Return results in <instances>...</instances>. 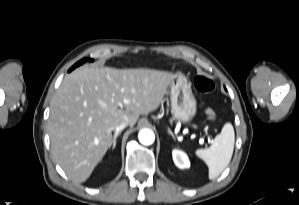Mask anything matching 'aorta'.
I'll list each match as a JSON object with an SVG mask.
<instances>
[{
	"mask_svg": "<svg viewBox=\"0 0 299 205\" xmlns=\"http://www.w3.org/2000/svg\"><path fill=\"white\" fill-rule=\"evenodd\" d=\"M138 139L143 145H151L155 140V135L150 129H142L138 134Z\"/></svg>",
	"mask_w": 299,
	"mask_h": 205,
	"instance_id": "aorta-1",
	"label": "aorta"
}]
</instances>
